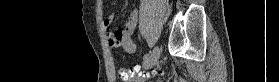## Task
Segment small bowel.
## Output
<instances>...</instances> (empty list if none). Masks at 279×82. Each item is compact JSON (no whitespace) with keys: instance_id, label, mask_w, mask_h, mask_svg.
<instances>
[{"instance_id":"small-bowel-1","label":"small bowel","mask_w":279,"mask_h":82,"mask_svg":"<svg viewBox=\"0 0 279 82\" xmlns=\"http://www.w3.org/2000/svg\"><path fill=\"white\" fill-rule=\"evenodd\" d=\"M114 14H109L104 20V26L108 34L109 46L114 49H123L127 52H134L136 45L133 35L137 25V11L133 10L122 29H112Z\"/></svg>"}]
</instances>
